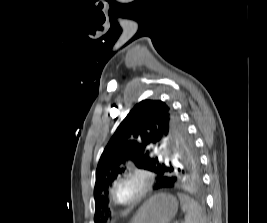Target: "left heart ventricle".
I'll use <instances>...</instances> for the list:
<instances>
[{
	"label": "left heart ventricle",
	"instance_id": "obj_1",
	"mask_svg": "<svg viewBox=\"0 0 267 223\" xmlns=\"http://www.w3.org/2000/svg\"><path fill=\"white\" fill-rule=\"evenodd\" d=\"M139 188L140 184L137 180H126L117 187L116 194L120 200L125 201L135 196Z\"/></svg>",
	"mask_w": 267,
	"mask_h": 223
}]
</instances>
